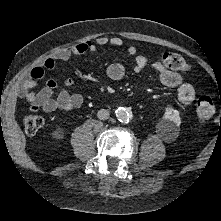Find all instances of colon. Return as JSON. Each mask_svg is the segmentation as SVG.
Here are the masks:
<instances>
[{
    "label": "colon",
    "mask_w": 221,
    "mask_h": 221,
    "mask_svg": "<svg viewBox=\"0 0 221 221\" xmlns=\"http://www.w3.org/2000/svg\"><path fill=\"white\" fill-rule=\"evenodd\" d=\"M163 66L172 71L187 73L190 70L189 64L177 53L166 52L161 56ZM214 113V103L209 95L199 97L196 105V114L201 123H207ZM23 126L27 134L35 135L43 126L41 116L28 113L23 117Z\"/></svg>",
    "instance_id": "obj_1"
}]
</instances>
